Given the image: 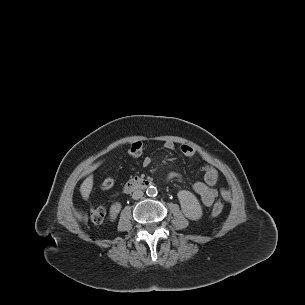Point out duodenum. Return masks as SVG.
Instances as JSON below:
<instances>
[{"label": "duodenum", "instance_id": "duodenum-1", "mask_svg": "<svg viewBox=\"0 0 305 305\" xmlns=\"http://www.w3.org/2000/svg\"><path fill=\"white\" fill-rule=\"evenodd\" d=\"M153 181L146 178H134L127 181L123 187L125 193H131L138 189H146L153 185Z\"/></svg>", "mask_w": 305, "mask_h": 305}]
</instances>
